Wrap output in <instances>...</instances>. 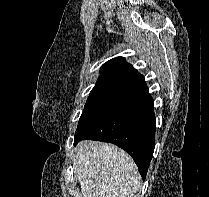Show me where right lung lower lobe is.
<instances>
[{
  "mask_svg": "<svg viewBox=\"0 0 209 197\" xmlns=\"http://www.w3.org/2000/svg\"><path fill=\"white\" fill-rule=\"evenodd\" d=\"M153 103L148 90L140 93L77 131L74 144L83 139L113 143L132 156L145 178L155 147Z\"/></svg>",
  "mask_w": 209,
  "mask_h": 197,
  "instance_id": "obj_1",
  "label": "right lung lower lobe"
}]
</instances>
